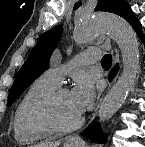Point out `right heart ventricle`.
<instances>
[{
    "label": "right heart ventricle",
    "mask_w": 145,
    "mask_h": 147,
    "mask_svg": "<svg viewBox=\"0 0 145 147\" xmlns=\"http://www.w3.org/2000/svg\"><path fill=\"white\" fill-rule=\"evenodd\" d=\"M58 87L44 74L35 79L17 104L13 117L15 138L22 143H36L49 139L55 131L38 115V101Z\"/></svg>",
    "instance_id": "obj_1"
}]
</instances>
